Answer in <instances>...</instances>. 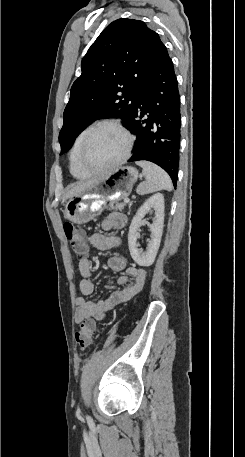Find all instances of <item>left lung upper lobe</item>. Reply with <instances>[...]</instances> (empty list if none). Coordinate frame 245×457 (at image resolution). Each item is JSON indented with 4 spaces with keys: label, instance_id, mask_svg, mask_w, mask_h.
<instances>
[{
    "label": "left lung upper lobe",
    "instance_id": "obj_1",
    "mask_svg": "<svg viewBox=\"0 0 245 457\" xmlns=\"http://www.w3.org/2000/svg\"><path fill=\"white\" fill-rule=\"evenodd\" d=\"M159 43V35L140 20L121 18L103 30L72 85L59 134L60 154L97 119L119 117L128 125Z\"/></svg>",
    "mask_w": 245,
    "mask_h": 457
}]
</instances>
